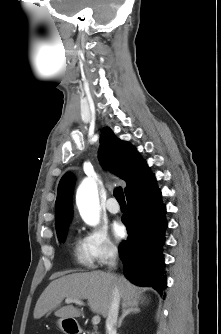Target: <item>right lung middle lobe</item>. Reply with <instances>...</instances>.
Masks as SVG:
<instances>
[{"label": "right lung middle lobe", "instance_id": "1", "mask_svg": "<svg viewBox=\"0 0 221 334\" xmlns=\"http://www.w3.org/2000/svg\"><path fill=\"white\" fill-rule=\"evenodd\" d=\"M66 231H67V227L57 231L59 241L64 242Z\"/></svg>", "mask_w": 221, "mask_h": 334}]
</instances>
